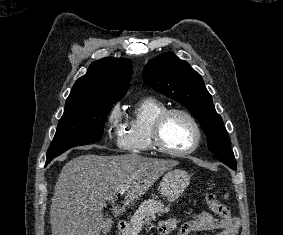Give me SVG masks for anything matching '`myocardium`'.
I'll use <instances>...</instances> for the list:
<instances>
[{
	"mask_svg": "<svg viewBox=\"0 0 283 235\" xmlns=\"http://www.w3.org/2000/svg\"><path fill=\"white\" fill-rule=\"evenodd\" d=\"M174 114H179V115L186 117L191 122L195 130V140L193 144L185 150H180V151L172 150L164 144L163 139H162L163 125L166 122V120ZM201 139H202V131H201L199 122L193 116V114L181 108H169L163 111L155 119L152 129H151V141H152L153 147L157 151L163 154H166V155H170V156H185V155L193 153L199 147L201 143Z\"/></svg>",
	"mask_w": 283,
	"mask_h": 235,
	"instance_id": "myocardium-1",
	"label": "myocardium"
}]
</instances>
